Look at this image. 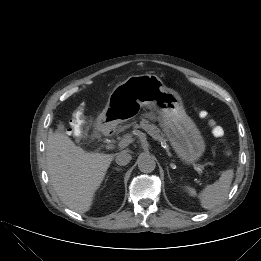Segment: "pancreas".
<instances>
[{"label":"pancreas","mask_w":261,"mask_h":261,"mask_svg":"<svg viewBox=\"0 0 261 261\" xmlns=\"http://www.w3.org/2000/svg\"><path fill=\"white\" fill-rule=\"evenodd\" d=\"M135 128H142L144 129L150 136H152L155 140L160 142H164L165 138L164 135L161 133L160 129L152 122L147 119H142L140 121V125L134 124Z\"/></svg>","instance_id":"1"}]
</instances>
